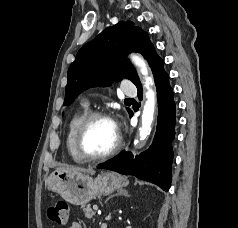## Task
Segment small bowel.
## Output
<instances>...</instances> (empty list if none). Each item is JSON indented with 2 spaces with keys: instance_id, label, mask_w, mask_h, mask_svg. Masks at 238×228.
<instances>
[{
  "instance_id": "small-bowel-1",
  "label": "small bowel",
  "mask_w": 238,
  "mask_h": 228,
  "mask_svg": "<svg viewBox=\"0 0 238 228\" xmlns=\"http://www.w3.org/2000/svg\"><path fill=\"white\" fill-rule=\"evenodd\" d=\"M69 228H82V226L79 222H72Z\"/></svg>"
}]
</instances>
